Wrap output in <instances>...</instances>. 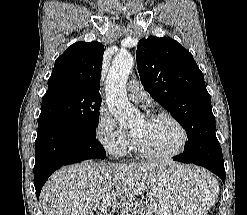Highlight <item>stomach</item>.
I'll use <instances>...</instances> for the list:
<instances>
[{
    "instance_id": "stomach-1",
    "label": "stomach",
    "mask_w": 247,
    "mask_h": 215,
    "mask_svg": "<svg viewBox=\"0 0 247 215\" xmlns=\"http://www.w3.org/2000/svg\"><path fill=\"white\" fill-rule=\"evenodd\" d=\"M217 188L205 170L179 165L154 183L149 202L157 215H203L213 205Z\"/></svg>"
}]
</instances>
